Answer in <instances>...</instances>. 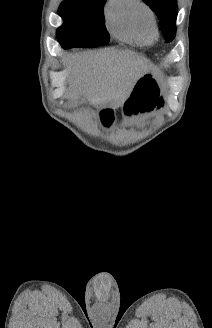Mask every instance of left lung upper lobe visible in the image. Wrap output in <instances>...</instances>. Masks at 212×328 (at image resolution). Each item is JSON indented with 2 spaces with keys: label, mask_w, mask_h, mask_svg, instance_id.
I'll return each mask as SVG.
<instances>
[{
  "label": "left lung upper lobe",
  "mask_w": 212,
  "mask_h": 328,
  "mask_svg": "<svg viewBox=\"0 0 212 328\" xmlns=\"http://www.w3.org/2000/svg\"><path fill=\"white\" fill-rule=\"evenodd\" d=\"M158 16L160 28L166 42L175 38L177 1L176 0H143Z\"/></svg>",
  "instance_id": "5c2ea615"
}]
</instances>
